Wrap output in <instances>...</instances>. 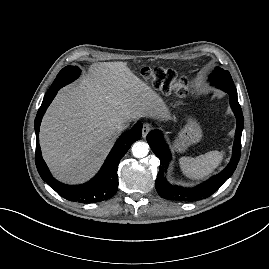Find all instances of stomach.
Listing matches in <instances>:
<instances>
[{
	"label": "stomach",
	"mask_w": 269,
	"mask_h": 269,
	"mask_svg": "<svg viewBox=\"0 0 269 269\" xmlns=\"http://www.w3.org/2000/svg\"><path fill=\"white\" fill-rule=\"evenodd\" d=\"M201 138L202 130L199 124L194 120H189L173 142V148L177 152H185L190 145L199 142Z\"/></svg>",
	"instance_id": "obj_1"
}]
</instances>
